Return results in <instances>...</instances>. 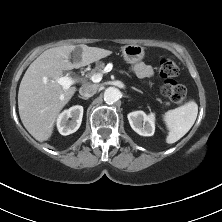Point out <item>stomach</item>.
<instances>
[{
  "mask_svg": "<svg viewBox=\"0 0 222 222\" xmlns=\"http://www.w3.org/2000/svg\"><path fill=\"white\" fill-rule=\"evenodd\" d=\"M124 60L128 63H136L143 59L144 47L138 44H129L122 47Z\"/></svg>",
  "mask_w": 222,
  "mask_h": 222,
  "instance_id": "0dacf381",
  "label": "stomach"
}]
</instances>
